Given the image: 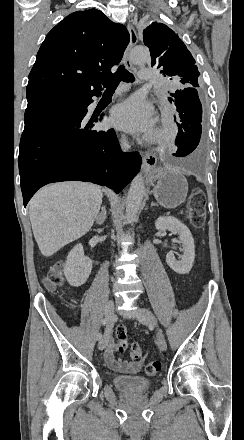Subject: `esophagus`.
Listing matches in <instances>:
<instances>
[{
    "label": "esophagus",
    "mask_w": 244,
    "mask_h": 440,
    "mask_svg": "<svg viewBox=\"0 0 244 440\" xmlns=\"http://www.w3.org/2000/svg\"><path fill=\"white\" fill-rule=\"evenodd\" d=\"M127 28H128V32L130 34V42L124 52L123 64L126 68H131L132 67L131 51H132V48L138 42V36L136 34V31H135L133 25H131V23H128ZM156 163H157V157H156L155 153L146 152L145 154L142 155V167H143V170L145 173H148V171L150 169L154 168Z\"/></svg>",
    "instance_id": "obj_1"
}]
</instances>
